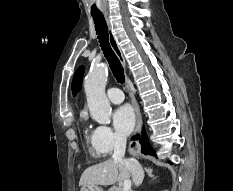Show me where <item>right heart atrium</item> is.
Listing matches in <instances>:
<instances>
[{
	"label": "right heart atrium",
	"instance_id": "obj_1",
	"mask_svg": "<svg viewBox=\"0 0 233 191\" xmlns=\"http://www.w3.org/2000/svg\"><path fill=\"white\" fill-rule=\"evenodd\" d=\"M95 142L103 155H109L120 148L125 140L108 126H98L95 129Z\"/></svg>",
	"mask_w": 233,
	"mask_h": 191
}]
</instances>
